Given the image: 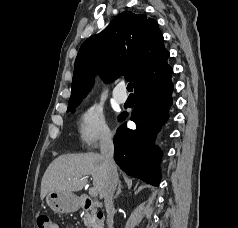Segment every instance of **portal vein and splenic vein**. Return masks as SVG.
<instances>
[{
    "label": "portal vein and splenic vein",
    "instance_id": "portal-vein-and-splenic-vein-1",
    "mask_svg": "<svg viewBox=\"0 0 238 228\" xmlns=\"http://www.w3.org/2000/svg\"><path fill=\"white\" fill-rule=\"evenodd\" d=\"M89 194L91 197H97V195H98L97 189L95 187L90 188Z\"/></svg>",
    "mask_w": 238,
    "mask_h": 228
}]
</instances>
